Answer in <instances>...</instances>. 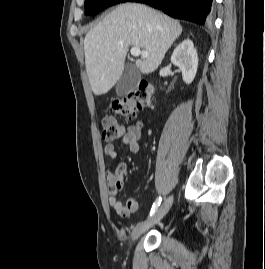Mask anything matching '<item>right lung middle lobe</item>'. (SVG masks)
Wrapping results in <instances>:
<instances>
[{"mask_svg":"<svg viewBox=\"0 0 265 269\" xmlns=\"http://www.w3.org/2000/svg\"><path fill=\"white\" fill-rule=\"evenodd\" d=\"M128 0H85V15H96L101 10Z\"/></svg>","mask_w":265,"mask_h":269,"instance_id":"obj_1","label":"right lung middle lobe"}]
</instances>
